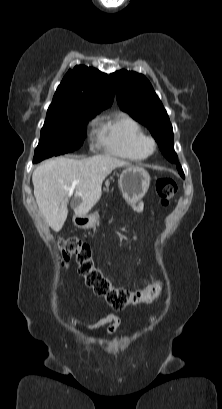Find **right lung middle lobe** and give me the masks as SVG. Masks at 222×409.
Returning <instances> with one entry per match:
<instances>
[{
  "instance_id": "obj_1",
  "label": "right lung middle lobe",
  "mask_w": 222,
  "mask_h": 409,
  "mask_svg": "<svg viewBox=\"0 0 222 409\" xmlns=\"http://www.w3.org/2000/svg\"><path fill=\"white\" fill-rule=\"evenodd\" d=\"M100 111L87 107L47 111L33 163L78 149L86 137L88 120Z\"/></svg>"
}]
</instances>
